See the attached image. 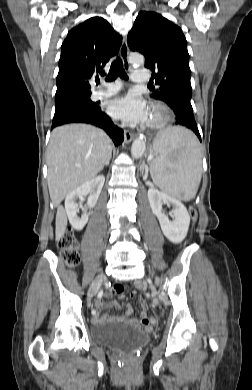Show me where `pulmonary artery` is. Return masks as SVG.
<instances>
[{
    "mask_svg": "<svg viewBox=\"0 0 252 390\" xmlns=\"http://www.w3.org/2000/svg\"><path fill=\"white\" fill-rule=\"evenodd\" d=\"M131 79L133 82H146L149 80V75L146 70H134L131 73ZM120 87L121 85L119 83H103V87L93 93V98L99 100L112 96Z\"/></svg>",
    "mask_w": 252,
    "mask_h": 390,
    "instance_id": "e3ab8cb5",
    "label": "pulmonary artery"
}]
</instances>
